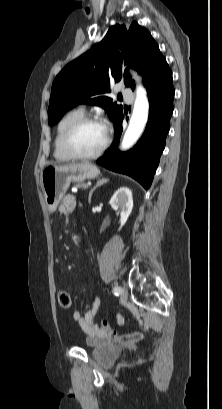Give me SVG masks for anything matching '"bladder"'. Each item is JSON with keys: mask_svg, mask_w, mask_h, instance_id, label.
<instances>
[{"mask_svg": "<svg viewBox=\"0 0 222 409\" xmlns=\"http://www.w3.org/2000/svg\"><path fill=\"white\" fill-rule=\"evenodd\" d=\"M124 349L112 343H103L92 349V355L103 368H108L118 358Z\"/></svg>", "mask_w": 222, "mask_h": 409, "instance_id": "bladder-1", "label": "bladder"}]
</instances>
